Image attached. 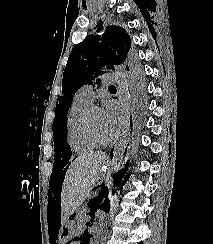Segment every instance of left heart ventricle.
<instances>
[{
  "mask_svg": "<svg viewBox=\"0 0 213 244\" xmlns=\"http://www.w3.org/2000/svg\"><path fill=\"white\" fill-rule=\"evenodd\" d=\"M90 122L95 134L102 139L108 138L112 131L104 124L101 110L94 107L90 111Z\"/></svg>",
  "mask_w": 213,
  "mask_h": 244,
  "instance_id": "b2bd125f",
  "label": "left heart ventricle"
}]
</instances>
